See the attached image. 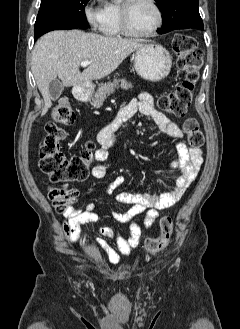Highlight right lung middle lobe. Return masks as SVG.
Returning <instances> with one entry per match:
<instances>
[{"label":"right lung middle lobe","mask_w":240,"mask_h":329,"mask_svg":"<svg viewBox=\"0 0 240 329\" xmlns=\"http://www.w3.org/2000/svg\"><path fill=\"white\" fill-rule=\"evenodd\" d=\"M89 0H41L34 26L35 39L55 29L88 28L85 6Z\"/></svg>","instance_id":"dd1d6c3e"}]
</instances>
